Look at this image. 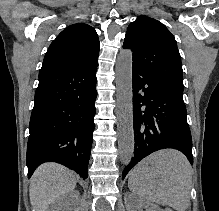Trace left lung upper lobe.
<instances>
[{"mask_svg":"<svg viewBox=\"0 0 219 211\" xmlns=\"http://www.w3.org/2000/svg\"><path fill=\"white\" fill-rule=\"evenodd\" d=\"M123 48L133 52V66L183 93V70L174 36L159 21L140 16L127 29Z\"/></svg>","mask_w":219,"mask_h":211,"instance_id":"left-lung-upper-lobe-1","label":"left lung upper lobe"}]
</instances>
